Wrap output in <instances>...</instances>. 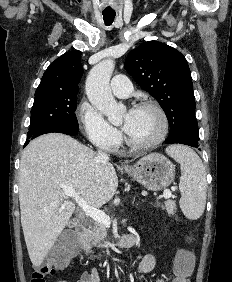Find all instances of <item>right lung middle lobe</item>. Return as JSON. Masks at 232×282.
<instances>
[{"mask_svg": "<svg viewBox=\"0 0 232 282\" xmlns=\"http://www.w3.org/2000/svg\"><path fill=\"white\" fill-rule=\"evenodd\" d=\"M76 96V93H35L28 138L55 126H64L78 131V121L75 115Z\"/></svg>", "mask_w": 232, "mask_h": 282, "instance_id": "obj_1", "label": "right lung middle lobe"}]
</instances>
